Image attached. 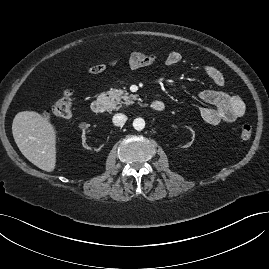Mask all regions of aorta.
Here are the masks:
<instances>
[{
  "instance_id": "obj_1",
  "label": "aorta",
  "mask_w": 269,
  "mask_h": 269,
  "mask_svg": "<svg viewBox=\"0 0 269 269\" xmlns=\"http://www.w3.org/2000/svg\"><path fill=\"white\" fill-rule=\"evenodd\" d=\"M133 127L137 131L143 130L144 127H145V121H144V119H142V118H136V119H134V121H133Z\"/></svg>"
}]
</instances>
